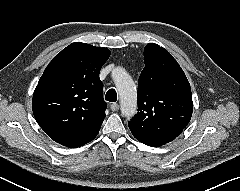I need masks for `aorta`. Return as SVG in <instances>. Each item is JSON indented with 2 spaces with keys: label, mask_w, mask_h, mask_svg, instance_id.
<instances>
[{
  "label": "aorta",
  "mask_w": 240,
  "mask_h": 191,
  "mask_svg": "<svg viewBox=\"0 0 240 191\" xmlns=\"http://www.w3.org/2000/svg\"><path fill=\"white\" fill-rule=\"evenodd\" d=\"M115 86L120 95L121 113L127 118L137 112V92L131 76L122 68L112 71Z\"/></svg>",
  "instance_id": "762f6f07"
}]
</instances>
